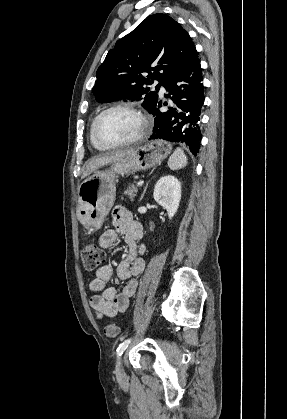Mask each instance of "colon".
I'll return each instance as SVG.
<instances>
[{"mask_svg": "<svg viewBox=\"0 0 287 419\" xmlns=\"http://www.w3.org/2000/svg\"><path fill=\"white\" fill-rule=\"evenodd\" d=\"M81 256L87 271L98 270L105 261V252L96 244H87L82 248ZM104 333L108 338H117L120 333L116 322H109L104 327Z\"/></svg>", "mask_w": 287, "mask_h": 419, "instance_id": "5ec220e1", "label": "colon"}]
</instances>
